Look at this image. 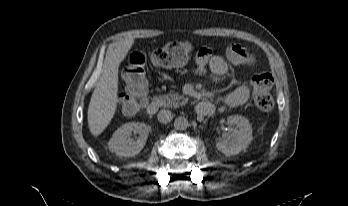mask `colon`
Listing matches in <instances>:
<instances>
[{
  "label": "colon",
  "instance_id": "1",
  "mask_svg": "<svg viewBox=\"0 0 348 206\" xmlns=\"http://www.w3.org/2000/svg\"><path fill=\"white\" fill-rule=\"evenodd\" d=\"M188 56L187 47L178 42H169L153 50L149 56L142 51L129 55L123 72L126 90L120 96L118 105L121 111L128 115L139 112L146 103L147 79L146 62L149 57L151 63L158 67L177 68L182 66ZM199 56V51L197 57ZM252 94L255 105L261 111H270L274 101L271 94L273 77L269 73L257 72L251 76Z\"/></svg>",
  "mask_w": 348,
  "mask_h": 206
}]
</instances>
